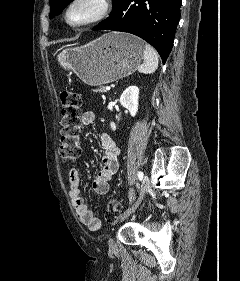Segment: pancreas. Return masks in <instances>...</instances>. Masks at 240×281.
<instances>
[{
	"instance_id": "obj_1",
	"label": "pancreas",
	"mask_w": 240,
	"mask_h": 281,
	"mask_svg": "<svg viewBox=\"0 0 240 281\" xmlns=\"http://www.w3.org/2000/svg\"><path fill=\"white\" fill-rule=\"evenodd\" d=\"M93 92L105 93L107 91L105 90V86H102V87H99L98 89H93Z\"/></svg>"
}]
</instances>
